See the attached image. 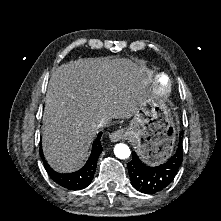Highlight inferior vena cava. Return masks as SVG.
Wrapping results in <instances>:
<instances>
[{
    "label": "inferior vena cava",
    "instance_id": "602c4592",
    "mask_svg": "<svg viewBox=\"0 0 221 221\" xmlns=\"http://www.w3.org/2000/svg\"><path fill=\"white\" fill-rule=\"evenodd\" d=\"M108 124H109V121L104 119V118H102L101 120H99V122L97 123L96 127L97 128H101V127H104V126H106Z\"/></svg>",
    "mask_w": 221,
    "mask_h": 221
}]
</instances>
